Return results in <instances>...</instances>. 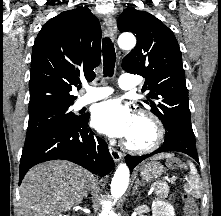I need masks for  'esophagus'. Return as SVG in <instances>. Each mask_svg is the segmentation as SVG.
<instances>
[{
  "instance_id": "obj_1",
  "label": "esophagus",
  "mask_w": 221,
  "mask_h": 216,
  "mask_svg": "<svg viewBox=\"0 0 221 216\" xmlns=\"http://www.w3.org/2000/svg\"><path fill=\"white\" fill-rule=\"evenodd\" d=\"M105 24H106V31L107 33L112 37V39L114 40L116 37V32H117V26H116V21L115 19L108 14L105 17ZM109 152L111 154V157L113 158V160L115 162H119L122 158V154L121 152L117 151L116 149H114L113 147L109 146Z\"/></svg>"
}]
</instances>
